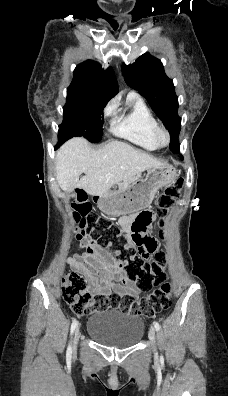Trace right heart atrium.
<instances>
[{"instance_id":"obj_1","label":"right heart atrium","mask_w":228,"mask_h":396,"mask_svg":"<svg viewBox=\"0 0 228 396\" xmlns=\"http://www.w3.org/2000/svg\"><path fill=\"white\" fill-rule=\"evenodd\" d=\"M113 109H114L113 104H112V103H109V104L105 107V109H104L105 115H106V116L111 115L112 112H113Z\"/></svg>"}]
</instances>
